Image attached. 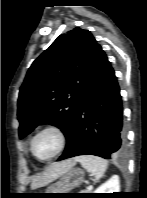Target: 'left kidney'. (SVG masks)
<instances>
[{
  "instance_id": "left-kidney-1",
  "label": "left kidney",
  "mask_w": 147,
  "mask_h": 198,
  "mask_svg": "<svg viewBox=\"0 0 147 198\" xmlns=\"http://www.w3.org/2000/svg\"><path fill=\"white\" fill-rule=\"evenodd\" d=\"M120 192L119 177L117 175L112 176L108 181L100 185L94 193H114Z\"/></svg>"
}]
</instances>
